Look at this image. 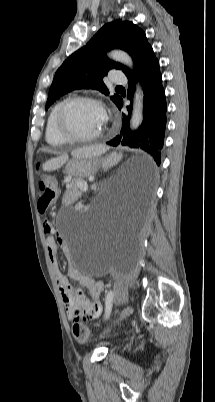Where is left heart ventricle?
I'll use <instances>...</instances> for the list:
<instances>
[{
    "label": "left heart ventricle",
    "instance_id": "left-heart-ventricle-1",
    "mask_svg": "<svg viewBox=\"0 0 215 402\" xmlns=\"http://www.w3.org/2000/svg\"><path fill=\"white\" fill-rule=\"evenodd\" d=\"M65 121L68 129L80 136H90L104 129L103 111L95 104L77 102L69 107Z\"/></svg>",
    "mask_w": 215,
    "mask_h": 402
}]
</instances>
